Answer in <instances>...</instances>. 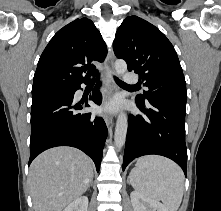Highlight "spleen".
Wrapping results in <instances>:
<instances>
[{
    "mask_svg": "<svg viewBox=\"0 0 221 211\" xmlns=\"http://www.w3.org/2000/svg\"><path fill=\"white\" fill-rule=\"evenodd\" d=\"M133 188L152 199L161 200L169 211H177L183 198L184 174L173 161L161 156H143L131 170Z\"/></svg>",
    "mask_w": 221,
    "mask_h": 211,
    "instance_id": "obj_1",
    "label": "spleen"
}]
</instances>
